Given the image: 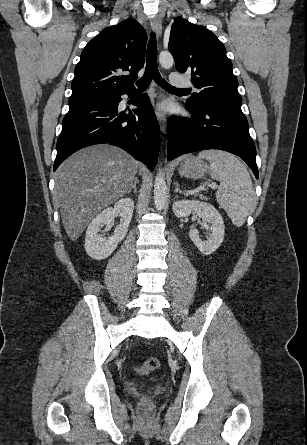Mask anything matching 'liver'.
<instances>
[{
	"mask_svg": "<svg viewBox=\"0 0 307 445\" xmlns=\"http://www.w3.org/2000/svg\"><path fill=\"white\" fill-rule=\"evenodd\" d=\"M136 170L137 160L111 144L82 148L59 166L55 198L70 241L79 239L97 212L124 196Z\"/></svg>",
	"mask_w": 307,
	"mask_h": 445,
	"instance_id": "1",
	"label": "liver"
}]
</instances>
